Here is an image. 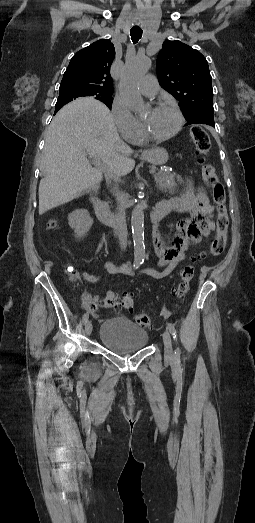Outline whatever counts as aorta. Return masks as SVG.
Masks as SVG:
<instances>
[{
  "label": "aorta",
  "instance_id": "aorta-1",
  "mask_svg": "<svg viewBox=\"0 0 255 523\" xmlns=\"http://www.w3.org/2000/svg\"><path fill=\"white\" fill-rule=\"evenodd\" d=\"M151 67L148 57H135L125 65L120 81L121 94L128 107L136 113L144 110V102L138 91V83ZM134 258L142 261L145 258L144 245V211L141 204H136L131 214Z\"/></svg>",
  "mask_w": 255,
  "mask_h": 523
}]
</instances>
